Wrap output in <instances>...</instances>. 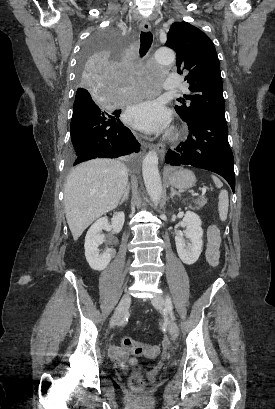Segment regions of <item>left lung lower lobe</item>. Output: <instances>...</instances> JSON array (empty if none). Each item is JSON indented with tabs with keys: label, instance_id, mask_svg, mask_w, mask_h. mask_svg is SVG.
<instances>
[{
	"label": "left lung lower lobe",
	"instance_id": "left-lung-lower-lobe-1",
	"mask_svg": "<svg viewBox=\"0 0 275 409\" xmlns=\"http://www.w3.org/2000/svg\"><path fill=\"white\" fill-rule=\"evenodd\" d=\"M188 139L176 151L169 150L166 163L188 165L215 172L224 177L235 189L234 159L228 143L225 117L206 115L187 123Z\"/></svg>",
	"mask_w": 275,
	"mask_h": 409
}]
</instances>
